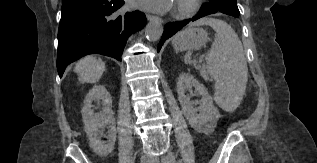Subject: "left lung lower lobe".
<instances>
[{
	"label": "left lung lower lobe",
	"mask_w": 317,
	"mask_h": 163,
	"mask_svg": "<svg viewBox=\"0 0 317 163\" xmlns=\"http://www.w3.org/2000/svg\"><path fill=\"white\" fill-rule=\"evenodd\" d=\"M216 12L217 11L205 10L204 8H202L200 10L199 14L194 16L192 19H187V20H184V21H181V22H173V23L166 24L165 29H164V33L162 35V38H161L159 46H158V51L161 49V47H162L163 43L165 42V40H167L172 35H174L177 31L182 29L190 21H195V20H197V19H199L201 17L207 16V15H210V14H214ZM224 14L231 15V16H234V17H238V15H234V14H230V13H224Z\"/></svg>",
	"instance_id": "obj_1"
}]
</instances>
